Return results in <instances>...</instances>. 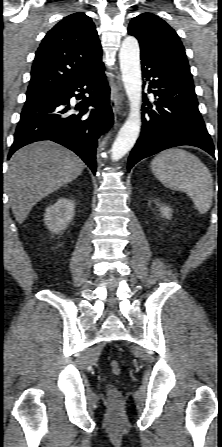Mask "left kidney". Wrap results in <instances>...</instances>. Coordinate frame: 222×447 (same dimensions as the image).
I'll return each mask as SVG.
<instances>
[{
	"instance_id": "obj_1",
	"label": "left kidney",
	"mask_w": 222,
	"mask_h": 447,
	"mask_svg": "<svg viewBox=\"0 0 222 447\" xmlns=\"http://www.w3.org/2000/svg\"><path fill=\"white\" fill-rule=\"evenodd\" d=\"M160 210H161V215L167 219H170L172 214H171V208L169 206H163L160 205Z\"/></svg>"
}]
</instances>
